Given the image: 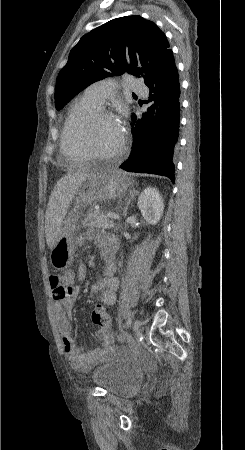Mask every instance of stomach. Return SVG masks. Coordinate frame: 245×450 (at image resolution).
<instances>
[{
	"mask_svg": "<svg viewBox=\"0 0 245 450\" xmlns=\"http://www.w3.org/2000/svg\"><path fill=\"white\" fill-rule=\"evenodd\" d=\"M130 184V179L122 173L102 170L88 177L79 186L72 207L62 223L56 242L51 249L50 261L54 269L65 270L73 262L75 254L73 238L82 210L97 200L121 197Z\"/></svg>",
	"mask_w": 245,
	"mask_h": 450,
	"instance_id": "0dacf381",
	"label": "stomach"
}]
</instances>
